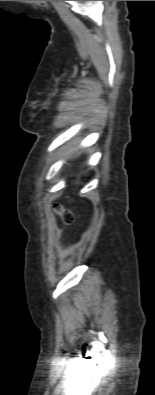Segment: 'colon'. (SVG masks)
Wrapping results in <instances>:
<instances>
[{
  "instance_id": "obj_1",
  "label": "colon",
  "mask_w": 155,
  "mask_h": 395,
  "mask_svg": "<svg viewBox=\"0 0 155 395\" xmlns=\"http://www.w3.org/2000/svg\"><path fill=\"white\" fill-rule=\"evenodd\" d=\"M59 213L64 223H70L73 220L72 212L69 209L60 208Z\"/></svg>"
}]
</instances>
